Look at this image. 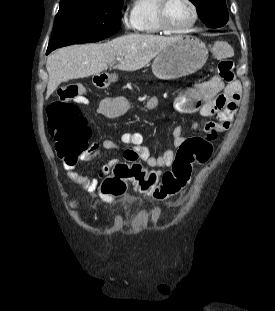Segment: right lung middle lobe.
<instances>
[{
	"label": "right lung middle lobe",
	"mask_w": 275,
	"mask_h": 311,
	"mask_svg": "<svg viewBox=\"0 0 275 311\" xmlns=\"http://www.w3.org/2000/svg\"><path fill=\"white\" fill-rule=\"evenodd\" d=\"M124 0H61L47 54L71 44L96 42L120 29Z\"/></svg>",
	"instance_id": "obj_1"
}]
</instances>
